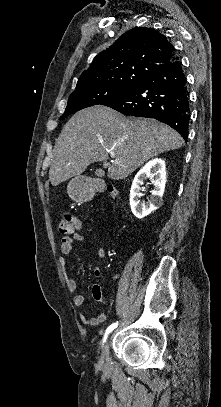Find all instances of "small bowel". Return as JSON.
I'll return each instance as SVG.
<instances>
[{
  "instance_id": "obj_1",
  "label": "small bowel",
  "mask_w": 221,
  "mask_h": 407,
  "mask_svg": "<svg viewBox=\"0 0 221 407\" xmlns=\"http://www.w3.org/2000/svg\"><path fill=\"white\" fill-rule=\"evenodd\" d=\"M85 242V236L81 233H75L72 237L65 236L60 241V251L62 255L69 256L72 253L73 249V242ZM95 253L98 258L104 259L105 258V250L102 247L95 246L94 247ZM59 262L61 265L65 264L64 258L60 257ZM91 273L95 278L100 277V270L97 267L91 268ZM65 285L67 290L70 292L72 296V302L75 306H82L85 301V297L82 293L77 292V282L74 278L66 277L65 278ZM92 297L96 303H103L105 301V296L99 286L98 283L93 284L92 288ZM80 321L86 325H99L104 321V314H98L94 317H89L85 313H80L79 315Z\"/></svg>"
}]
</instances>
